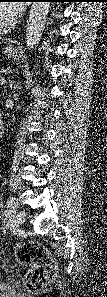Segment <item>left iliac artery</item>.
<instances>
[{
  "label": "left iliac artery",
  "mask_w": 107,
  "mask_h": 297,
  "mask_svg": "<svg viewBox=\"0 0 107 297\" xmlns=\"http://www.w3.org/2000/svg\"><path fill=\"white\" fill-rule=\"evenodd\" d=\"M17 202L15 198L10 197L8 200V210L5 214L6 217H11L16 213Z\"/></svg>",
  "instance_id": "1"
}]
</instances>
